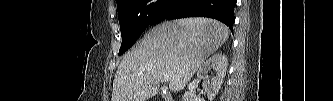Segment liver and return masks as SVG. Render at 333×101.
I'll list each match as a JSON object with an SVG mask.
<instances>
[{"label":"liver","instance_id":"liver-1","mask_svg":"<svg viewBox=\"0 0 333 101\" xmlns=\"http://www.w3.org/2000/svg\"><path fill=\"white\" fill-rule=\"evenodd\" d=\"M228 28L208 18L165 21L145 34L116 71L111 101H146L165 75L169 89L182 90L202 63L228 39Z\"/></svg>","mask_w":333,"mask_h":101}]
</instances>
